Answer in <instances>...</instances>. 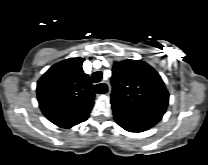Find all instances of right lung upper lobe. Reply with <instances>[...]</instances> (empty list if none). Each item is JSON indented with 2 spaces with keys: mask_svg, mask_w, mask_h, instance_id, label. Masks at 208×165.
<instances>
[{
  "mask_svg": "<svg viewBox=\"0 0 208 165\" xmlns=\"http://www.w3.org/2000/svg\"><path fill=\"white\" fill-rule=\"evenodd\" d=\"M83 62L77 57L56 63L37 82L39 107L60 128L70 129L87 120L94 105L95 94Z\"/></svg>",
  "mask_w": 208,
  "mask_h": 165,
  "instance_id": "1",
  "label": "right lung upper lobe"
}]
</instances>
